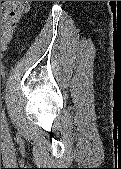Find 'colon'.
<instances>
[{
  "label": "colon",
  "mask_w": 121,
  "mask_h": 169,
  "mask_svg": "<svg viewBox=\"0 0 121 169\" xmlns=\"http://www.w3.org/2000/svg\"><path fill=\"white\" fill-rule=\"evenodd\" d=\"M31 1H2L3 48L9 43L15 28L29 10Z\"/></svg>",
  "instance_id": "colon-1"
}]
</instances>
